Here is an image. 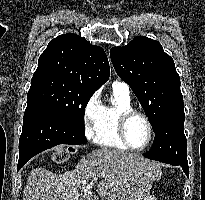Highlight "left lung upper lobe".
Segmentation results:
<instances>
[{"instance_id": "1", "label": "left lung upper lobe", "mask_w": 205, "mask_h": 200, "mask_svg": "<svg viewBox=\"0 0 205 200\" xmlns=\"http://www.w3.org/2000/svg\"><path fill=\"white\" fill-rule=\"evenodd\" d=\"M113 66L133 90L155 132L163 117L183 107L180 77L161 44L145 36L110 50Z\"/></svg>"}]
</instances>
